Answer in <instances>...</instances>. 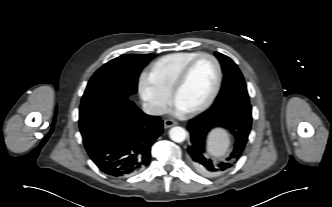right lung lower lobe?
<instances>
[{
    "instance_id": "1",
    "label": "right lung lower lobe",
    "mask_w": 332,
    "mask_h": 207,
    "mask_svg": "<svg viewBox=\"0 0 332 207\" xmlns=\"http://www.w3.org/2000/svg\"><path fill=\"white\" fill-rule=\"evenodd\" d=\"M79 128L97 167L110 176L123 177L148 166L163 121L143 113L128 97L108 95L81 104Z\"/></svg>"
}]
</instances>
